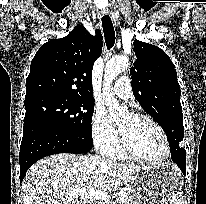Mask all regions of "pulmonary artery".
Returning <instances> with one entry per match:
<instances>
[{"label":"pulmonary artery","instance_id":"1","mask_svg":"<svg viewBox=\"0 0 206 204\" xmlns=\"http://www.w3.org/2000/svg\"><path fill=\"white\" fill-rule=\"evenodd\" d=\"M112 90L114 93L125 99L128 100L132 97V88L129 79L126 76L120 77L113 85Z\"/></svg>","mask_w":206,"mask_h":204}]
</instances>
